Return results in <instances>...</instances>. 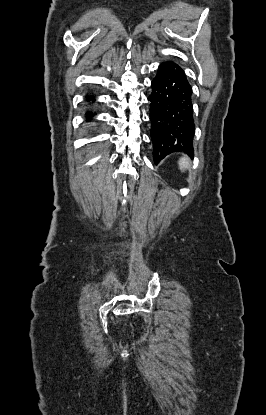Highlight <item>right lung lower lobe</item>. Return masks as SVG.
Instances as JSON below:
<instances>
[{"label": "right lung lower lobe", "instance_id": "right-lung-lower-lobe-1", "mask_svg": "<svg viewBox=\"0 0 266 415\" xmlns=\"http://www.w3.org/2000/svg\"><path fill=\"white\" fill-rule=\"evenodd\" d=\"M95 94H87L86 96V100H87V104L89 106H91L94 102H95ZM96 114V112H93L91 109L86 111V118H87V122L91 121V118Z\"/></svg>", "mask_w": 266, "mask_h": 415}]
</instances>
